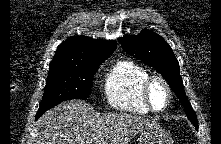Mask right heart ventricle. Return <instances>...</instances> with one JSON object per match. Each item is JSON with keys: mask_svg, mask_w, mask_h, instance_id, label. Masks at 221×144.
<instances>
[{"mask_svg": "<svg viewBox=\"0 0 221 144\" xmlns=\"http://www.w3.org/2000/svg\"><path fill=\"white\" fill-rule=\"evenodd\" d=\"M149 75L144 66L132 60L123 59L116 62L107 74L104 85L110 106L130 113H149L141 92L142 84Z\"/></svg>", "mask_w": 221, "mask_h": 144, "instance_id": "e07e8e85", "label": "right heart ventricle"}]
</instances>
